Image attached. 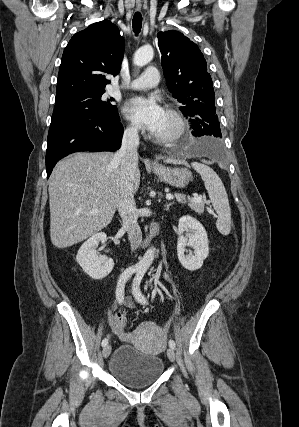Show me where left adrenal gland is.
<instances>
[{"instance_id":"a2214340","label":"left adrenal gland","mask_w":299,"mask_h":427,"mask_svg":"<svg viewBox=\"0 0 299 427\" xmlns=\"http://www.w3.org/2000/svg\"><path fill=\"white\" fill-rule=\"evenodd\" d=\"M172 205V203L166 204L165 205V210H169L170 206Z\"/></svg>"}]
</instances>
